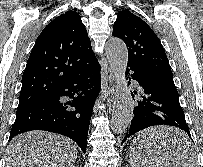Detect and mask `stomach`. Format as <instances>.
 <instances>
[{"mask_svg": "<svg viewBox=\"0 0 203 167\" xmlns=\"http://www.w3.org/2000/svg\"><path fill=\"white\" fill-rule=\"evenodd\" d=\"M136 142V141H135ZM137 143V145H140V142H136ZM135 154H137V155H140L141 156V154L142 153H140V152H138L137 150L135 151Z\"/></svg>", "mask_w": 203, "mask_h": 167, "instance_id": "1", "label": "stomach"}]
</instances>
